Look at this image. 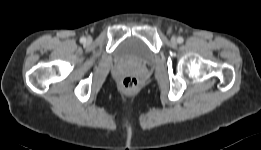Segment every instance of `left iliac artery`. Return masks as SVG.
Masks as SVG:
<instances>
[{
    "instance_id": "left-iliac-artery-1",
    "label": "left iliac artery",
    "mask_w": 261,
    "mask_h": 150,
    "mask_svg": "<svg viewBox=\"0 0 261 150\" xmlns=\"http://www.w3.org/2000/svg\"><path fill=\"white\" fill-rule=\"evenodd\" d=\"M183 41H184V39L182 37H178V39H177L178 43H183Z\"/></svg>"
}]
</instances>
